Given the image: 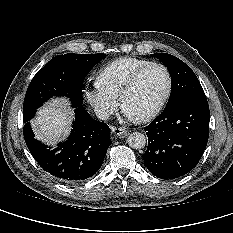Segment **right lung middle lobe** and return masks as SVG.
Here are the masks:
<instances>
[{"label":"right lung middle lobe","instance_id":"1","mask_svg":"<svg viewBox=\"0 0 233 233\" xmlns=\"http://www.w3.org/2000/svg\"><path fill=\"white\" fill-rule=\"evenodd\" d=\"M106 54H64L52 58L32 79L23 104V121H29L45 101L65 95L73 107L82 106V85L91 68Z\"/></svg>","mask_w":233,"mask_h":233}]
</instances>
